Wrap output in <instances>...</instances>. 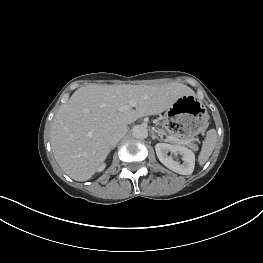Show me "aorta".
Returning a JSON list of instances; mask_svg holds the SVG:
<instances>
[{
  "mask_svg": "<svg viewBox=\"0 0 263 263\" xmlns=\"http://www.w3.org/2000/svg\"><path fill=\"white\" fill-rule=\"evenodd\" d=\"M147 128L143 125H136L132 129V135L136 139H144L147 137Z\"/></svg>",
  "mask_w": 263,
  "mask_h": 263,
  "instance_id": "762f6f07",
  "label": "aorta"
}]
</instances>
